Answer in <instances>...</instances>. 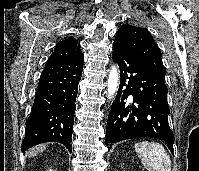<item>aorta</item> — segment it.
Returning a JSON list of instances; mask_svg holds the SVG:
<instances>
[{
  "mask_svg": "<svg viewBox=\"0 0 199 171\" xmlns=\"http://www.w3.org/2000/svg\"><path fill=\"white\" fill-rule=\"evenodd\" d=\"M108 98H112L113 95L118 90L119 85V70L116 66H113L110 70L109 77H108Z\"/></svg>",
  "mask_w": 199,
  "mask_h": 171,
  "instance_id": "aorta-1",
  "label": "aorta"
}]
</instances>
